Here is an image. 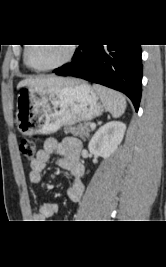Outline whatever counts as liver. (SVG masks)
Segmentation results:
<instances>
[{
	"label": "liver",
	"instance_id": "obj_1",
	"mask_svg": "<svg viewBox=\"0 0 166 267\" xmlns=\"http://www.w3.org/2000/svg\"><path fill=\"white\" fill-rule=\"evenodd\" d=\"M78 81L70 78L54 77V76H44L38 78H29L20 81L17 85V89L22 87H62L70 86L76 84Z\"/></svg>",
	"mask_w": 166,
	"mask_h": 267
}]
</instances>
